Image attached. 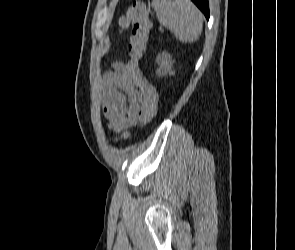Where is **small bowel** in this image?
<instances>
[{
  "label": "small bowel",
  "instance_id": "obj_1",
  "mask_svg": "<svg viewBox=\"0 0 295 250\" xmlns=\"http://www.w3.org/2000/svg\"><path fill=\"white\" fill-rule=\"evenodd\" d=\"M122 62L113 64V69L104 78L101 109L107 127L122 139L129 137V129L142 119V95L135 84L122 75Z\"/></svg>",
  "mask_w": 295,
  "mask_h": 250
}]
</instances>
